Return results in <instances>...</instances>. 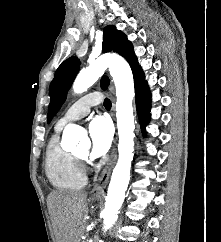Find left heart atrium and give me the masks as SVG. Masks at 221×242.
<instances>
[{
  "label": "left heart atrium",
  "instance_id": "39dd6f15",
  "mask_svg": "<svg viewBox=\"0 0 221 242\" xmlns=\"http://www.w3.org/2000/svg\"><path fill=\"white\" fill-rule=\"evenodd\" d=\"M88 132L91 140V157L97 158L105 154L110 148L113 138V130L109 121L101 116L92 119Z\"/></svg>",
  "mask_w": 221,
  "mask_h": 242
}]
</instances>
